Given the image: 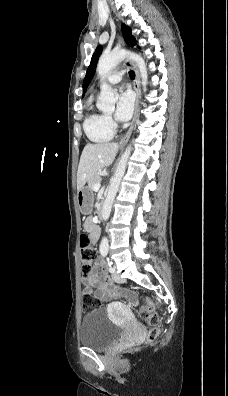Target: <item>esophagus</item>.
I'll use <instances>...</instances> for the list:
<instances>
[{"mask_svg": "<svg viewBox=\"0 0 228 396\" xmlns=\"http://www.w3.org/2000/svg\"><path fill=\"white\" fill-rule=\"evenodd\" d=\"M122 44L124 45L123 41H122ZM125 64L127 66H131L134 69V71H135L136 78H135V81H134V90H135V93H136V103H135V111H134V116H133V120H132L131 126H130L129 130L127 131L126 135L119 142L120 146L126 145V143L129 140V137H130V135H131V133L133 131L134 124H135V122L137 120V117H138L139 101H140V95H141V91H140V74H139L138 68L136 67V65L132 61H130L128 59L125 60Z\"/></svg>", "mask_w": 228, "mask_h": 396, "instance_id": "obj_1", "label": "esophagus"}]
</instances>
